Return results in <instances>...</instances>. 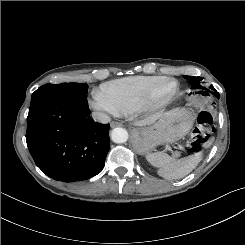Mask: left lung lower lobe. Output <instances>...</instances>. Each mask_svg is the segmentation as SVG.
I'll list each match as a JSON object with an SVG mask.
<instances>
[{
    "label": "left lung lower lobe",
    "mask_w": 245,
    "mask_h": 245,
    "mask_svg": "<svg viewBox=\"0 0 245 245\" xmlns=\"http://www.w3.org/2000/svg\"><path fill=\"white\" fill-rule=\"evenodd\" d=\"M212 94H214L217 98H219L218 92L214 91V92H212Z\"/></svg>",
    "instance_id": "obj_1"
}]
</instances>
